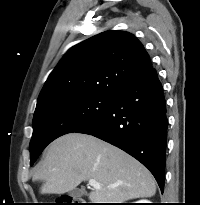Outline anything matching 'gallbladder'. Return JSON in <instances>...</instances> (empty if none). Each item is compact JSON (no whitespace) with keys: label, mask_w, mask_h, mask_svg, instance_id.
<instances>
[{"label":"gallbladder","mask_w":200,"mask_h":205,"mask_svg":"<svg viewBox=\"0 0 200 205\" xmlns=\"http://www.w3.org/2000/svg\"><path fill=\"white\" fill-rule=\"evenodd\" d=\"M83 194H85V191L81 190V189H77V188H75L69 192V195L73 198L81 197Z\"/></svg>","instance_id":"gallbladder-1"}]
</instances>
